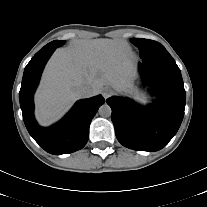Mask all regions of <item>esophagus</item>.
<instances>
[{
  "instance_id": "1",
  "label": "esophagus",
  "mask_w": 207,
  "mask_h": 207,
  "mask_svg": "<svg viewBox=\"0 0 207 207\" xmlns=\"http://www.w3.org/2000/svg\"><path fill=\"white\" fill-rule=\"evenodd\" d=\"M113 94L112 89L110 88H105L102 92V95L105 99H107L108 97H110Z\"/></svg>"
}]
</instances>
